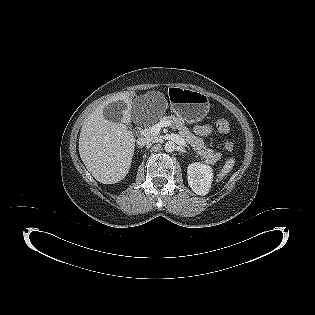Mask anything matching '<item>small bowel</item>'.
Listing matches in <instances>:
<instances>
[{
  "label": "small bowel",
  "mask_w": 315,
  "mask_h": 315,
  "mask_svg": "<svg viewBox=\"0 0 315 315\" xmlns=\"http://www.w3.org/2000/svg\"><path fill=\"white\" fill-rule=\"evenodd\" d=\"M211 131H212V127L209 125H201V126L195 127V132L201 136H206V135L210 134Z\"/></svg>",
  "instance_id": "obj_1"
}]
</instances>
